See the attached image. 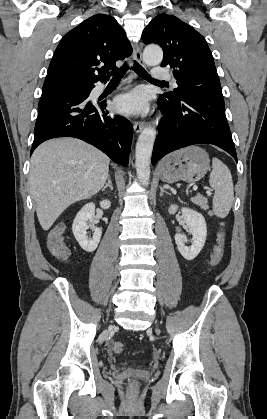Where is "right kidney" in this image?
Returning a JSON list of instances; mask_svg holds the SVG:
<instances>
[{"mask_svg": "<svg viewBox=\"0 0 267 419\" xmlns=\"http://www.w3.org/2000/svg\"><path fill=\"white\" fill-rule=\"evenodd\" d=\"M100 206L105 210L109 209L111 202L107 199L102 200L100 202ZM94 217L95 204L91 202L81 208L72 225V231L75 239L78 241L80 247L86 252H93L97 248L102 235V230L100 228H93L92 238H89L87 235V229L93 226Z\"/></svg>", "mask_w": 267, "mask_h": 419, "instance_id": "right-kidney-1", "label": "right kidney"}]
</instances>
